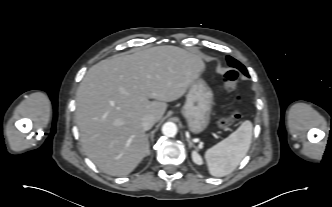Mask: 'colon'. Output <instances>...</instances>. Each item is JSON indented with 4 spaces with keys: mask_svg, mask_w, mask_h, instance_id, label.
<instances>
[{
    "mask_svg": "<svg viewBox=\"0 0 332 207\" xmlns=\"http://www.w3.org/2000/svg\"><path fill=\"white\" fill-rule=\"evenodd\" d=\"M239 82V74L236 70H229L223 77V85L226 90L233 91ZM236 100H240V96H235ZM241 119V112L238 108H235L227 117L218 118L216 120L217 125L226 129L231 125L237 123Z\"/></svg>",
    "mask_w": 332,
    "mask_h": 207,
    "instance_id": "5ec220e1",
    "label": "colon"
}]
</instances>
